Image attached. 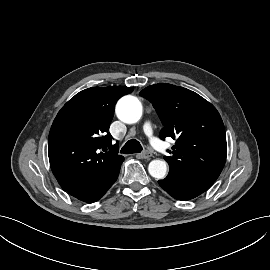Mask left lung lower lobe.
<instances>
[{"instance_id":"1","label":"left lung lower lobe","mask_w":270,"mask_h":270,"mask_svg":"<svg viewBox=\"0 0 270 270\" xmlns=\"http://www.w3.org/2000/svg\"><path fill=\"white\" fill-rule=\"evenodd\" d=\"M214 179L199 173L169 171L167 177L159 180V185L178 200H190L205 192Z\"/></svg>"}]
</instances>
